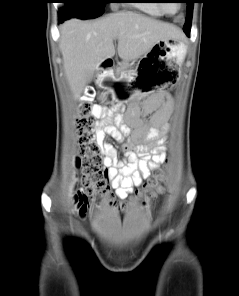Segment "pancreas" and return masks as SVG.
<instances>
[{
    "instance_id": "obj_1",
    "label": "pancreas",
    "mask_w": 239,
    "mask_h": 296,
    "mask_svg": "<svg viewBox=\"0 0 239 296\" xmlns=\"http://www.w3.org/2000/svg\"><path fill=\"white\" fill-rule=\"evenodd\" d=\"M129 67V63L128 62H122L120 63L119 67L116 68V76L118 77L120 74H122L123 72H126V70Z\"/></svg>"
}]
</instances>
